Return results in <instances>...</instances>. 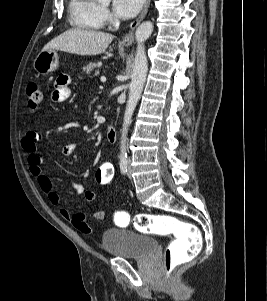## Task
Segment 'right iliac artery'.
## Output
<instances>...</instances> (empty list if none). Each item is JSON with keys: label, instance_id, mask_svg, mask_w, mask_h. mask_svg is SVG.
<instances>
[{"label": "right iliac artery", "instance_id": "82829eb1", "mask_svg": "<svg viewBox=\"0 0 267 301\" xmlns=\"http://www.w3.org/2000/svg\"><path fill=\"white\" fill-rule=\"evenodd\" d=\"M120 170H121L122 174L127 173V162L126 161H123L120 163Z\"/></svg>", "mask_w": 267, "mask_h": 301}]
</instances>
